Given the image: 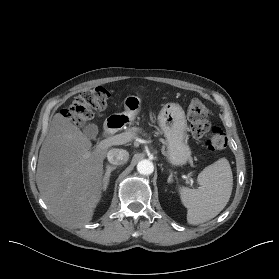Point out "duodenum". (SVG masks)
Segmentation results:
<instances>
[{
	"label": "duodenum",
	"instance_id": "410a0bca",
	"mask_svg": "<svg viewBox=\"0 0 279 279\" xmlns=\"http://www.w3.org/2000/svg\"><path fill=\"white\" fill-rule=\"evenodd\" d=\"M123 122L120 117L109 118L104 126V133L106 135L114 134L121 126Z\"/></svg>",
	"mask_w": 279,
	"mask_h": 279
}]
</instances>
